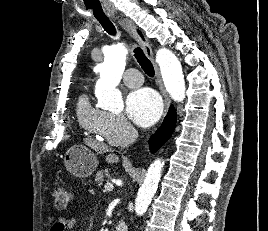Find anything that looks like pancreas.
Returning <instances> with one entry per match:
<instances>
[{
	"instance_id": "1",
	"label": "pancreas",
	"mask_w": 268,
	"mask_h": 231,
	"mask_svg": "<svg viewBox=\"0 0 268 231\" xmlns=\"http://www.w3.org/2000/svg\"><path fill=\"white\" fill-rule=\"evenodd\" d=\"M108 176L107 170H100L96 173L95 181L98 184V186L103 185V182L105 181V177Z\"/></svg>"
}]
</instances>
